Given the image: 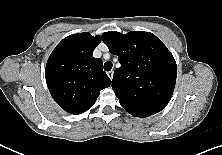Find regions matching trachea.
Returning a JSON list of instances; mask_svg holds the SVG:
<instances>
[{"instance_id":"3493384b","label":"trachea","mask_w":222,"mask_h":155,"mask_svg":"<svg viewBox=\"0 0 222 155\" xmlns=\"http://www.w3.org/2000/svg\"><path fill=\"white\" fill-rule=\"evenodd\" d=\"M112 66L113 64L110 62V61H107L105 64H104V70L105 71H110L112 69Z\"/></svg>"}]
</instances>
